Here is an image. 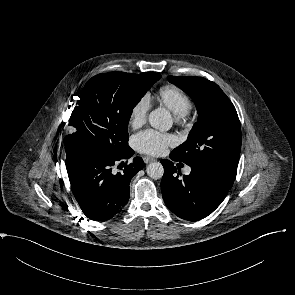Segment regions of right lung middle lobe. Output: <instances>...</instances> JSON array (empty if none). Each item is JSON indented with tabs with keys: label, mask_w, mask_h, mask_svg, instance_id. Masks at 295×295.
<instances>
[{
	"label": "right lung middle lobe",
	"mask_w": 295,
	"mask_h": 295,
	"mask_svg": "<svg viewBox=\"0 0 295 295\" xmlns=\"http://www.w3.org/2000/svg\"><path fill=\"white\" fill-rule=\"evenodd\" d=\"M161 78L160 74L110 72L92 77L82 89L71 113L74 131L64 138L66 165L89 152L124 154L133 108Z\"/></svg>",
	"instance_id": "right-lung-middle-lobe-1"
}]
</instances>
